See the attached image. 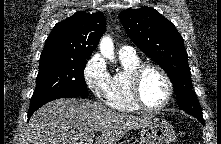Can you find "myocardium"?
Masks as SVG:
<instances>
[{
	"mask_svg": "<svg viewBox=\"0 0 221 144\" xmlns=\"http://www.w3.org/2000/svg\"><path fill=\"white\" fill-rule=\"evenodd\" d=\"M151 69L158 71L163 76L168 89L165 101L155 107L148 106L141 95V80L144 74ZM129 87L130 95L134 104L139 109L150 112H157L167 107L171 102L174 93L173 83L168 73L161 66L153 63H142L134 68L129 75Z\"/></svg>",
	"mask_w": 221,
	"mask_h": 144,
	"instance_id": "myocardium-1",
	"label": "myocardium"
}]
</instances>
